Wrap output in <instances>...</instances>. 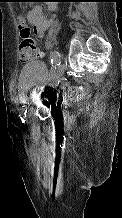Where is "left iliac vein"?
Wrapping results in <instances>:
<instances>
[{"instance_id": "4c4485c4", "label": "left iliac vein", "mask_w": 122, "mask_h": 218, "mask_svg": "<svg viewBox=\"0 0 122 218\" xmlns=\"http://www.w3.org/2000/svg\"><path fill=\"white\" fill-rule=\"evenodd\" d=\"M65 68H66V66L64 63H61L58 66L57 70L54 73L52 80L50 81V84H49L50 87H56L59 84L61 77L63 76V74L65 72ZM32 112H33V108H30L28 110L27 116H30L32 114Z\"/></svg>"}]
</instances>
